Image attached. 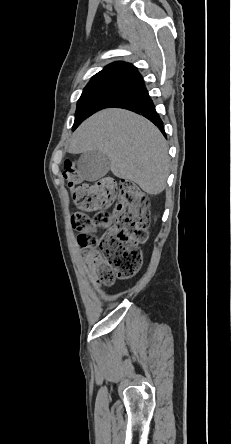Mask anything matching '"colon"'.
Here are the masks:
<instances>
[{
	"mask_svg": "<svg viewBox=\"0 0 231 444\" xmlns=\"http://www.w3.org/2000/svg\"><path fill=\"white\" fill-rule=\"evenodd\" d=\"M72 199L81 210L72 216L73 227L81 233L79 241L105 262L99 282L110 286L116 279L133 277L142 265L140 245L148 238L149 200L134 184L125 181L118 187L112 178L93 184L83 183L72 161L63 172ZM118 199L111 215L106 209ZM87 212H93L88 215ZM103 231L100 236L96 233Z\"/></svg>",
	"mask_w": 231,
	"mask_h": 444,
	"instance_id": "colon-1",
	"label": "colon"
}]
</instances>
